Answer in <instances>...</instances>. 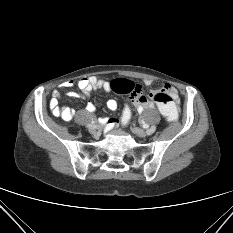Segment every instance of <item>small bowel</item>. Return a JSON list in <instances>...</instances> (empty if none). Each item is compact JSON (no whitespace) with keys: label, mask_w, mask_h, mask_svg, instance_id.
<instances>
[{"label":"small bowel","mask_w":233,"mask_h":233,"mask_svg":"<svg viewBox=\"0 0 233 233\" xmlns=\"http://www.w3.org/2000/svg\"><path fill=\"white\" fill-rule=\"evenodd\" d=\"M150 81H146V84H150ZM74 85L72 80H68L63 82L60 87L62 88H71ZM78 90H69L66 95L68 97H78V98H85L87 97L92 91H96L98 89H103L105 91L111 90V83L105 80L98 79L94 76L91 77H83L78 80ZM163 90L167 92L173 104L179 101L178 92L175 87L171 86L170 84H165ZM60 93L58 90H54L52 93V97L50 99V108L53 114L57 117L62 118L63 120L69 121L72 120L76 114V111L73 108L63 107L59 105ZM107 107L111 111H115L117 109V101L114 99H109L106 103ZM134 106L136 107L139 113L143 112L145 109L152 107V103L148 101L143 102H134ZM86 110L90 113H94L96 111V107L92 102H88L86 105ZM107 123L110 126H114L117 123L116 119H108Z\"/></svg>","instance_id":"small-bowel-1"}]
</instances>
